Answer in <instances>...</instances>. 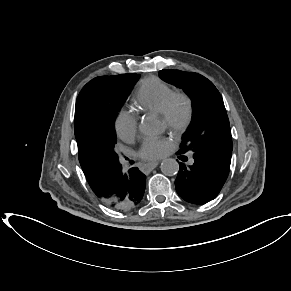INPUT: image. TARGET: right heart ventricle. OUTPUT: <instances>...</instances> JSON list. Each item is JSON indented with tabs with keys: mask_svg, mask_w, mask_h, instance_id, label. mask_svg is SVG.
<instances>
[{
	"mask_svg": "<svg viewBox=\"0 0 291 291\" xmlns=\"http://www.w3.org/2000/svg\"><path fill=\"white\" fill-rule=\"evenodd\" d=\"M174 89L163 80L151 76L141 81L135 96L134 106L141 112L160 114L168 105Z\"/></svg>",
	"mask_w": 291,
	"mask_h": 291,
	"instance_id": "1",
	"label": "right heart ventricle"
}]
</instances>
